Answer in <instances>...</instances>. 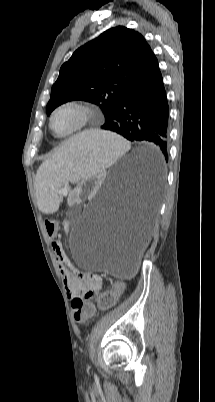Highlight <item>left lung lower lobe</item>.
<instances>
[{"label":"left lung lower lobe","mask_w":215,"mask_h":402,"mask_svg":"<svg viewBox=\"0 0 215 402\" xmlns=\"http://www.w3.org/2000/svg\"><path fill=\"white\" fill-rule=\"evenodd\" d=\"M168 116L166 92L157 62L132 86L101 128L116 132L130 141L154 144L168 161ZM145 189L153 206L158 188L148 183Z\"/></svg>","instance_id":"1"}]
</instances>
